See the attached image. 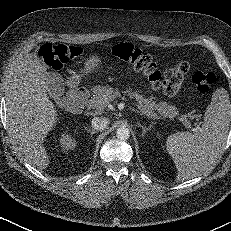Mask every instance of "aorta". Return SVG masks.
I'll return each instance as SVG.
<instances>
[{
  "label": "aorta",
  "mask_w": 231,
  "mask_h": 231,
  "mask_svg": "<svg viewBox=\"0 0 231 231\" xmlns=\"http://www.w3.org/2000/svg\"><path fill=\"white\" fill-rule=\"evenodd\" d=\"M116 136L118 139H121V140L128 139L130 136V132H129L128 128L120 127L116 131Z\"/></svg>",
  "instance_id": "1"
}]
</instances>
